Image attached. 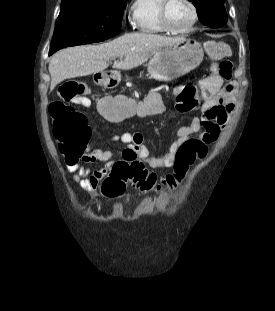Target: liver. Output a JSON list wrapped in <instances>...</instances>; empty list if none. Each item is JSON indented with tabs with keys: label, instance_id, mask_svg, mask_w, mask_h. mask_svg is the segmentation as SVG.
I'll list each match as a JSON object with an SVG mask.
<instances>
[{
	"label": "liver",
	"instance_id": "obj_1",
	"mask_svg": "<svg viewBox=\"0 0 275 311\" xmlns=\"http://www.w3.org/2000/svg\"><path fill=\"white\" fill-rule=\"evenodd\" d=\"M183 40L151 33H127L100 45L76 46L57 52L50 60V90L65 79L102 72L108 61L122 58L114 68L131 70L145 63L161 48Z\"/></svg>",
	"mask_w": 275,
	"mask_h": 311
}]
</instances>
